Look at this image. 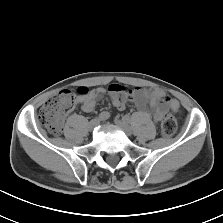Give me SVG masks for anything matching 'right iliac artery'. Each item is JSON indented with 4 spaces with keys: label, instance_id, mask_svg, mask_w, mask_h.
I'll return each mask as SVG.
<instances>
[{
    "label": "right iliac artery",
    "instance_id": "1",
    "mask_svg": "<svg viewBox=\"0 0 223 223\" xmlns=\"http://www.w3.org/2000/svg\"><path fill=\"white\" fill-rule=\"evenodd\" d=\"M110 117V114L108 112H102L99 114L98 116V120H101V121H104V120H107L108 118Z\"/></svg>",
    "mask_w": 223,
    "mask_h": 223
}]
</instances>
